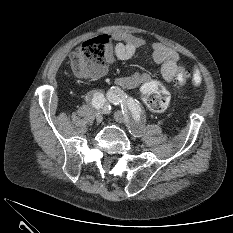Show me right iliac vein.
Segmentation results:
<instances>
[{"mask_svg":"<svg viewBox=\"0 0 233 233\" xmlns=\"http://www.w3.org/2000/svg\"><path fill=\"white\" fill-rule=\"evenodd\" d=\"M95 117H96V121H97L98 123L102 122L103 116H102V114H101L100 112H97V113L95 114Z\"/></svg>","mask_w":233,"mask_h":233,"instance_id":"right-iliac-vein-1","label":"right iliac vein"}]
</instances>
